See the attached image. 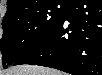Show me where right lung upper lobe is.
<instances>
[{
	"instance_id": "1",
	"label": "right lung upper lobe",
	"mask_w": 102,
	"mask_h": 75,
	"mask_svg": "<svg viewBox=\"0 0 102 75\" xmlns=\"http://www.w3.org/2000/svg\"><path fill=\"white\" fill-rule=\"evenodd\" d=\"M52 1L54 0H8L7 1V13L24 10V8L31 9L40 4L52 2Z\"/></svg>"
}]
</instances>
